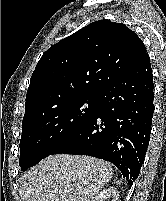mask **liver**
Returning <instances> with one entry per match:
<instances>
[{"label": "liver", "instance_id": "liver-1", "mask_svg": "<svg viewBox=\"0 0 166 201\" xmlns=\"http://www.w3.org/2000/svg\"><path fill=\"white\" fill-rule=\"evenodd\" d=\"M112 176L111 165L103 160L51 155L22 176V201H93Z\"/></svg>", "mask_w": 166, "mask_h": 201}]
</instances>
